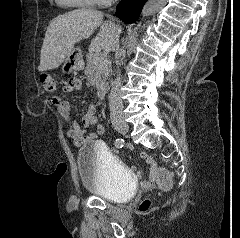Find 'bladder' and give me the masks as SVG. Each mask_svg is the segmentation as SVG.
I'll return each mask as SVG.
<instances>
[{"label": "bladder", "instance_id": "31cf9c89", "mask_svg": "<svg viewBox=\"0 0 240 238\" xmlns=\"http://www.w3.org/2000/svg\"><path fill=\"white\" fill-rule=\"evenodd\" d=\"M77 168L82 186L110 202L129 201L136 183L127 167L98 142H87L77 154Z\"/></svg>", "mask_w": 240, "mask_h": 238}]
</instances>
